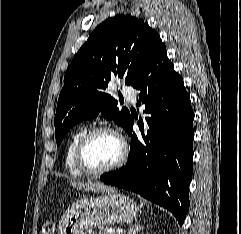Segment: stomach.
Here are the masks:
<instances>
[{"instance_id":"0dacf381","label":"stomach","mask_w":241,"mask_h":234,"mask_svg":"<svg viewBox=\"0 0 241 234\" xmlns=\"http://www.w3.org/2000/svg\"><path fill=\"white\" fill-rule=\"evenodd\" d=\"M138 211L133 200L110 189L73 203L60 221L59 234H86L96 227L130 223Z\"/></svg>"}]
</instances>
